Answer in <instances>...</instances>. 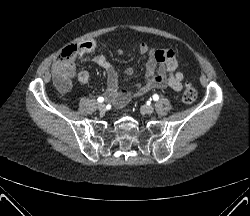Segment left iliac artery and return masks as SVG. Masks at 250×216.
Here are the masks:
<instances>
[{"label": "left iliac artery", "mask_w": 250, "mask_h": 216, "mask_svg": "<svg viewBox=\"0 0 250 216\" xmlns=\"http://www.w3.org/2000/svg\"><path fill=\"white\" fill-rule=\"evenodd\" d=\"M158 99H159V96H158L157 94H154V95H153V100H154V101H157Z\"/></svg>", "instance_id": "1"}]
</instances>
